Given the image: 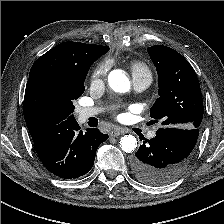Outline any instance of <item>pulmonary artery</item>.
<instances>
[{"label": "pulmonary artery", "instance_id": "obj_1", "mask_svg": "<svg viewBox=\"0 0 224 224\" xmlns=\"http://www.w3.org/2000/svg\"><path fill=\"white\" fill-rule=\"evenodd\" d=\"M151 83V77L147 75L135 76L133 78L134 89L137 93H140L148 88ZM101 112L100 108L90 107L82 108L78 111V121L80 123L85 122L89 117L95 116ZM156 132L154 130L148 133L149 138H154Z\"/></svg>", "mask_w": 224, "mask_h": 224}]
</instances>
